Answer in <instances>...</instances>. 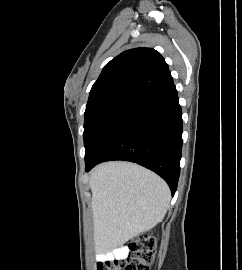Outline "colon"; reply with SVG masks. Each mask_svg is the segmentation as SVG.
<instances>
[{
    "mask_svg": "<svg viewBox=\"0 0 242 270\" xmlns=\"http://www.w3.org/2000/svg\"><path fill=\"white\" fill-rule=\"evenodd\" d=\"M124 258H115L110 264H97V270H151L155 258L156 241L148 232L135 236L127 246Z\"/></svg>",
    "mask_w": 242,
    "mask_h": 270,
    "instance_id": "1",
    "label": "colon"
}]
</instances>
